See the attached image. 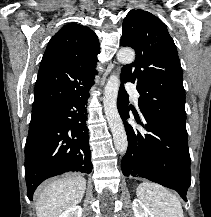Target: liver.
<instances>
[{
    "label": "liver",
    "mask_w": 211,
    "mask_h": 217,
    "mask_svg": "<svg viewBox=\"0 0 211 217\" xmlns=\"http://www.w3.org/2000/svg\"><path fill=\"white\" fill-rule=\"evenodd\" d=\"M86 180L80 175H67L42 186L36 200L37 217H59L81 202Z\"/></svg>",
    "instance_id": "1"
}]
</instances>
